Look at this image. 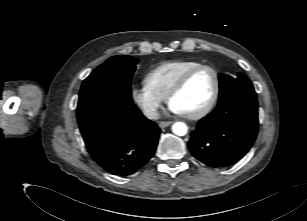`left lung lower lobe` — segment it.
Wrapping results in <instances>:
<instances>
[{
  "mask_svg": "<svg viewBox=\"0 0 307 221\" xmlns=\"http://www.w3.org/2000/svg\"><path fill=\"white\" fill-rule=\"evenodd\" d=\"M256 94L218 104L202 118L188 143L193 156L211 167L235 164L249 151L258 131Z\"/></svg>",
  "mask_w": 307,
  "mask_h": 221,
  "instance_id": "left-lung-lower-lobe-1",
  "label": "left lung lower lobe"
}]
</instances>
